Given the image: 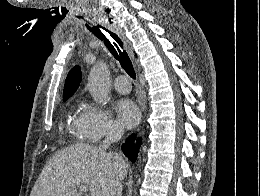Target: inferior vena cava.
<instances>
[{"instance_id": "1", "label": "inferior vena cava", "mask_w": 260, "mask_h": 196, "mask_svg": "<svg viewBox=\"0 0 260 196\" xmlns=\"http://www.w3.org/2000/svg\"><path fill=\"white\" fill-rule=\"evenodd\" d=\"M122 130H111L107 136H105V140H103L102 144L99 146L100 152H106L108 150L110 144H114V142H118L122 136ZM116 160H122L120 156H116ZM123 162V160H122ZM110 196H122V184L121 182H117L116 186H114V190H112Z\"/></svg>"}]
</instances>
